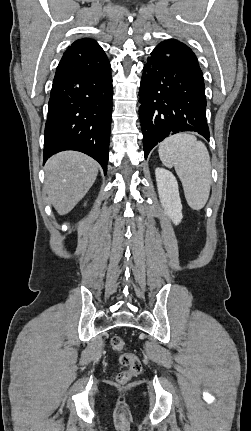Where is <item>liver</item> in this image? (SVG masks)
<instances>
[{"label":"liver","instance_id":"obj_1","mask_svg":"<svg viewBox=\"0 0 251 431\" xmlns=\"http://www.w3.org/2000/svg\"><path fill=\"white\" fill-rule=\"evenodd\" d=\"M98 163L75 151L51 157L45 165V189L50 203L60 215L70 212L86 195L98 175Z\"/></svg>","mask_w":251,"mask_h":431}]
</instances>
